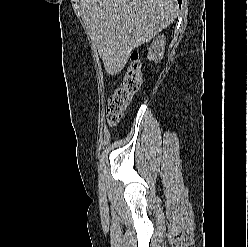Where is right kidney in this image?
I'll return each instance as SVG.
<instances>
[{"label":"right kidney","instance_id":"obj_1","mask_svg":"<svg viewBox=\"0 0 248 247\" xmlns=\"http://www.w3.org/2000/svg\"><path fill=\"white\" fill-rule=\"evenodd\" d=\"M165 49V37L164 35L158 36L149 48L148 59L154 62H160L163 59Z\"/></svg>","mask_w":248,"mask_h":247}]
</instances>
